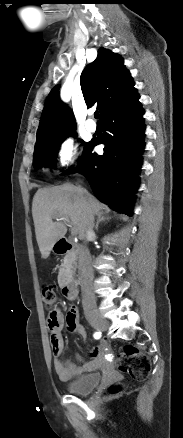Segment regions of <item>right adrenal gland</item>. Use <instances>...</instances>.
<instances>
[{
    "instance_id": "obj_1",
    "label": "right adrenal gland",
    "mask_w": 183,
    "mask_h": 438,
    "mask_svg": "<svg viewBox=\"0 0 183 438\" xmlns=\"http://www.w3.org/2000/svg\"><path fill=\"white\" fill-rule=\"evenodd\" d=\"M97 216H98V219H97L96 226H95V230L96 231H98V227H99V223L100 222H103L105 220H109L110 219V217L106 216V214L104 212H99L97 214Z\"/></svg>"
}]
</instances>
